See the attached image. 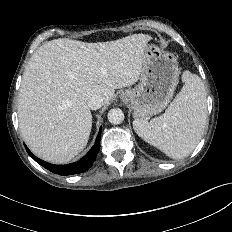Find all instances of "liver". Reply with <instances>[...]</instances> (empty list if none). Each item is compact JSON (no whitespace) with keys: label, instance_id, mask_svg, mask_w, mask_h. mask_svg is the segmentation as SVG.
Listing matches in <instances>:
<instances>
[{"label":"liver","instance_id":"1","mask_svg":"<svg viewBox=\"0 0 232 232\" xmlns=\"http://www.w3.org/2000/svg\"><path fill=\"white\" fill-rule=\"evenodd\" d=\"M151 39L59 38L40 46L24 71L18 99L19 127L31 151L51 163H66L81 152L92 128L89 98L99 95L107 105L115 89L135 84Z\"/></svg>","mask_w":232,"mask_h":232}]
</instances>
